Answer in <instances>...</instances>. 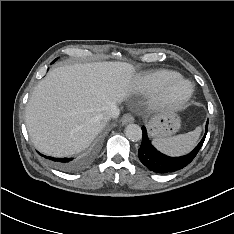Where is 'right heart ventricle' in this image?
<instances>
[{
    "instance_id": "obj_1",
    "label": "right heart ventricle",
    "mask_w": 234,
    "mask_h": 234,
    "mask_svg": "<svg viewBox=\"0 0 234 234\" xmlns=\"http://www.w3.org/2000/svg\"><path fill=\"white\" fill-rule=\"evenodd\" d=\"M178 76L176 72L166 69L145 72L136 77L135 88L139 92H151Z\"/></svg>"
}]
</instances>
